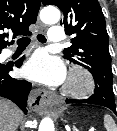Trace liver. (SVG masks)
Listing matches in <instances>:
<instances>
[{"label": "liver", "instance_id": "obj_1", "mask_svg": "<svg viewBox=\"0 0 117 131\" xmlns=\"http://www.w3.org/2000/svg\"><path fill=\"white\" fill-rule=\"evenodd\" d=\"M21 120V110L14 103L0 98V131H16Z\"/></svg>", "mask_w": 117, "mask_h": 131}]
</instances>
